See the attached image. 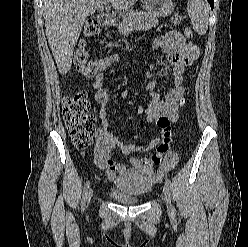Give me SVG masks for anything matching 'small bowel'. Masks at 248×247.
Masks as SVG:
<instances>
[{
	"instance_id": "1",
	"label": "small bowel",
	"mask_w": 248,
	"mask_h": 247,
	"mask_svg": "<svg viewBox=\"0 0 248 247\" xmlns=\"http://www.w3.org/2000/svg\"><path fill=\"white\" fill-rule=\"evenodd\" d=\"M153 48L160 50L166 62L172 69V86L164 95L155 92L158 82L151 80L147 84L150 91V101L146 107H140L137 114L146 115L147 121L155 123L161 134L147 143H124L109 131V119L107 117V104L110 100L108 87L104 84V73L113 71L112 66L118 62L119 56L111 54L98 61L99 72L93 80L95 89L94 98L102 105L100 110V125L96 128L94 148V161L99 169L105 172L109 181L116 180V173H123L126 167L118 163L112 155L115 149H119L125 155L148 152L156 149V152L145 158H131L135 166L151 169L160 166L163 171H168L177 164V155L170 151L173 142L171 123L178 118L179 109L185 104V79L191 72L194 62L199 56L197 45L187 41L179 32L168 31L153 41Z\"/></svg>"
}]
</instances>
